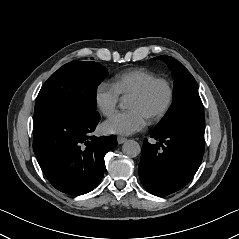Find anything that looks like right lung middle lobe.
I'll return each mask as SVG.
<instances>
[{
  "mask_svg": "<svg viewBox=\"0 0 239 239\" xmlns=\"http://www.w3.org/2000/svg\"><path fill=\"white\" fill-rule=\"evenodd\" d=\"M107 75V69L96 62L72 61L62 66L48 78L37 96L34 125L61 112L98 117L97 87Z\"/></svg>",
  "mask_w": 239,
  "mask_h": 239,
  "instance_id": "obj_1",
  "label": "right lung middle lobe"
}]
</instances>
